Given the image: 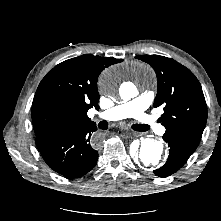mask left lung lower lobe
Segmentation results:
<instances>
[{
    "label": "left lung lower lobe",
    "mask_w": 221,
    "mask_h": 221,
    "mask_svg": "<svg viewBox=\"0 0 221 221\" xmlns=\"http://www.w3.org/2000/svg\"><path fill=\"white\" fill-rule=\"evenodd\" d=\"M169 146V157L164 166L154 170L159 177H167L179 170L196 150L198 143L175 135H163Z\"/></svg>",
    "instance_id": "left-lung-lower-lobe-1"
}]
</instances>
